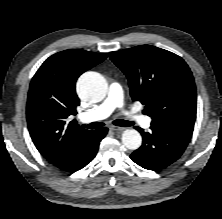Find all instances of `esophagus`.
Here are the masks:
<instances>
[{"label":"esophagus","mask_w":222,"mask_h":219,"mask_svg":"<svg viewBox=\"0 0 222 219\" xmlns=\"http://www.w3.org/2000/svg\"><path fill=\"white\" fill-rule=\"evenodd\" d=\"M125 128L123 127H116V126H112L111 130L115 131V132H121L123 131Z\"/></svg>","instance_id":"34e87169"}]
</instances>
